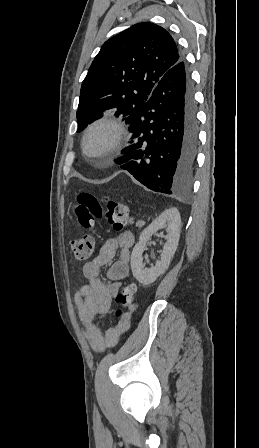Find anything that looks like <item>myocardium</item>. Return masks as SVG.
I'll return each mask as SVG.
<instances>
[{
  "instance_id": "myocardium-1",
  "label": "myocardium",
  "mask_w": 259,
  "mask_h": 448,
  "mask_svg": "<svg viewBox=\"0 0 259 448\" xmlns=\"http://www.w3.org/2000/svg\"><path fill=\"white\" fill-rule=\"evenodd\" d=\"M98 129L107 132V139L100 148L99 158L102 161H111L115 155V150L122 139L123 126L117 119L110 116L98 117L86 126L80 142L81 156L87 161H92V157L88 153V140L91 134Z\"/></svg>"
}]
</instances>
